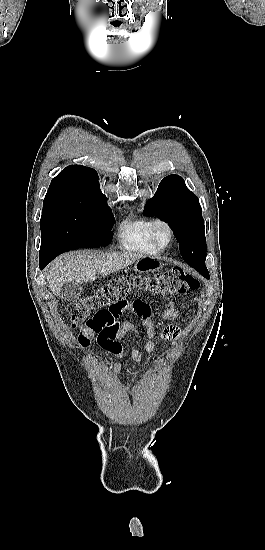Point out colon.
<instances>
[{"instance_id": "obj_1", "label": "colon", "mask_w": 265, "mask_h": 550, "mask_svg": "<svg viewBox=\"0 0 265 550\" xmlns=\"http://www.w3.org/2000/svg\"><path fill=\"white\" fill-rule=\"evenodd\" d=\"M199 286V280L181 268L145 276L124 275L73 301L68 306V314L72 327L85 323L92 331L111 337L116 331V320L128 309L143 321L146 303L141 300L128 302L132 293L145 292L171 298Z\"/></svg>"}]
</instances>
